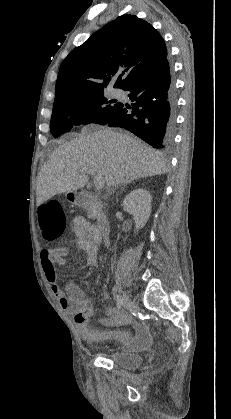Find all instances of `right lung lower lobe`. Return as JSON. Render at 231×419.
<instances>
[{
	"label": "right lung lower lobe",
	"instance_id": "right-lung-lower-lobe-1",
	"mask_svg": "<svg viewBox=\"0 0 231 419\" xmlns=\"http://www.w3.org/2000/svg\"><path fill=\"white\" fill-rule=\"evenodd\" d=\"M123 90L135 103H121L100 124L124 127L157 149L168 148L175 130L176 91L167 58Z\"/></svg>",
	"mask_w": 231,
	"mask_h": 419
}]
</instances>
